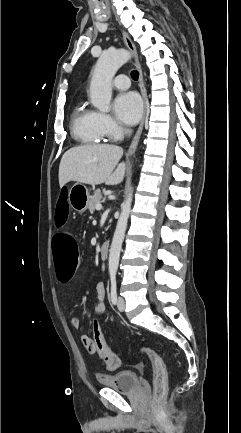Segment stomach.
Here are the masks:
<instances>
[{
	"label": "stomach",
	"mask_w": 241,
	"mask_h": 433,
	"mask_svg": "<svg viewBox=\"0 0 241 433\" xmlns=\"http://www.w3.org/2000/svg\"><path fill=\"white\" fill-rule=\"evenodd\" d=\"M90 194L86 186L76 183L68 191L70 206L77 212L83 213L88 208Z\"/></svg>",
	"instance_id": "obj_1"
}]
</instances>
